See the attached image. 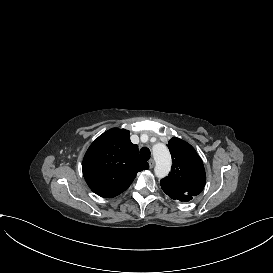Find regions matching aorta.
Instances as JSON below:
<instances>
[{
	"label": "aorta",
	"instance_id": "1",
	"mask_svg": "<svg viewBox=\"0 0 273 273\" xmlns=\"http://www.w3.org/2000/svg\"><path fill=\"white\" fill-rule=\"evenodd\" d=\"M153 157L156 162L155 175L163 178L168 175L171 168V156L164 144H156L153 147Z\"/></svg>",
	"mask_w": 273,
	"mask_h": 273
}]
</instances>
